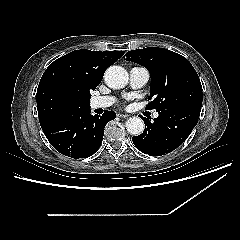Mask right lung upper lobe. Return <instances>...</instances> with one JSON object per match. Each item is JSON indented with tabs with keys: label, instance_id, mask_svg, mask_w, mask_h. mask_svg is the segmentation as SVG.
<instances>
[{
	"label": "right lung upper lobe",
	"instance_id": "right-lung-upper-lobe-1",
	"mask_svg": "<svg viewBox=\"0 0 240 240\" xmlns=\"http://www.w3.org/2000/svg\"><path fill=\"white\" fill-rule=\"evenodd\" d=\"M123 51L75 50L51 63L37 89L40 125L76 109L90 107V91L101 82L105 70Z\"/></svg>",
	"mask_w": 240,
	"mask_h": 240
}]
</instances>
